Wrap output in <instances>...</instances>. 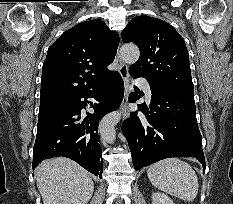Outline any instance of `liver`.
Wrapping results in <instances>:
<instances>
[{
  "instance_id": "1",
  "label": "liver",
  "mask_w": 233,
  "mask_h": 204,
  "mask_svg": "<svg viewBox=\"0 0 233 204\" xmlns=\"http://www.w3.org/2000/svg\"><path fill=\"white\" fill-rule=\"evenodd\" d=\"M36 181L43 204H87L94 191L90 174L64 157L40 163Z\"/></svg>"
}]
</instances>
